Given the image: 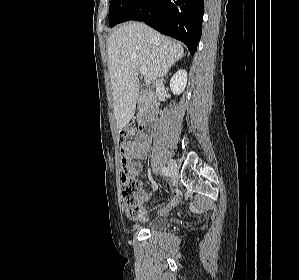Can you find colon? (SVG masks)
<instances>
[{"mask_svg": "<svg viewBox=\"0 0 299 280\" xmlns=\"http://www.w3.org/2000/svg\"><path fill=\"white\" fill-rule=\"evenodd\" d=\"M138 137V131L134 126H127L122 128L119 133L121 147H125L130 142L135 141ZM121 156V185L123 207L130 219L139 220L143 215L142 201L140 198L142 183L136 176H134L132 172V166L126 157L124 150L123 152H121Z\"/></svg>", "mask_w": 299, "mask_h": 280, "instance_id": "1", "label": "colon"}]
</instances>
